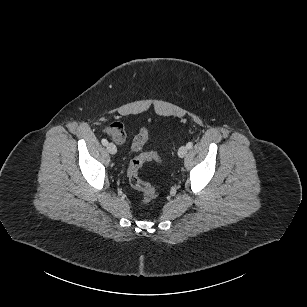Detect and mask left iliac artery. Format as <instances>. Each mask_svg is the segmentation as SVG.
I'll return each instance as SVG.
<instances>
[{
	"instance_id": "44dca946",
	"label": "left iliac artery",
	"mask_w": 307,
	"mask_h": 307,
	"mask_svg": "<svg viewBox=\"0 0 307 307\" xmlns=\"http://www.w3.org/2000/svg\"><path fill=\"white\" fill-rule=\"evenodd\" d=\"M186 146H187L188 149H191L193 147V143L192 142H188Z\"/></svg>"
}]
</instances>
